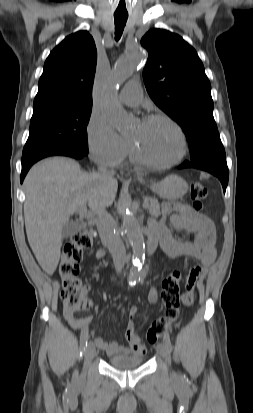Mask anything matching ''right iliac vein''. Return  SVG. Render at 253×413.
<instances>
[{
    "instance_id": "63e3f726",
    "label": "right iliac vein",
    "mask_w": 253,
    "mask_h": 413,
    "mask_svg": "<svg viewBox=\"0 0 253 413\" xmlns=\"http://www.w3.org/2000/svg\"><path fill=\"white\" fill-rule=\"evenodd\" d=\"M94 356H95V346L93 342L90 341L85 350V363H84L85 368L89 366ZM83 378H84V374L81 376V379Z\"/></svg>"
}]
</instances>
